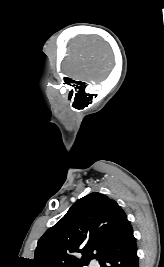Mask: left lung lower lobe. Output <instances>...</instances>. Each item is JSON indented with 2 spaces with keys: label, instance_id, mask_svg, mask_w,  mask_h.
<instances>
[{
  "label": "left lung lower lobe",
  "instance_id": "obj_1",
  "mask_svg": "<svg viewBox=\"0 0 164 267\" xmlns=\"http://www.w3.org/2000/svg\"><path fill=\"white\" fill-rule=\"evenodd\" d=\"M101 267H138L136 240L127 221L100 258Z\"/></svg>",
  "mask_w": 164,
  "mask_h": 267
}]
</instances>
